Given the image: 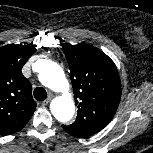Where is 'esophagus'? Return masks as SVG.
Instances as JSON below:
<instances>
[{
  "label": "esophagus",
  "instance_id": "34e87169",
  "mask_svg": "<svg viewBox=\"0 0 153 153\" xmlns=\"http://www.w3.org/2000/svg\"><path fill=\"white\" fill-rule=\"evenodd\" d=\"M52 98H53V95L50 94L48 98L44 102H42V105H47L52 100Z\"/></svg>",
  "mask_w": 153,
  "mask_h": 153
}]
</instances>
